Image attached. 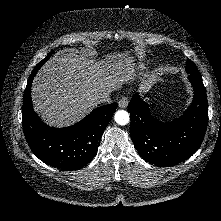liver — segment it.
Listing matches in <instances>:
<instances>
[{"label": "liver", "instance_id": "obj_1", "mask_svg": "<svg viewBox=\"0 0 221 221\" xmlns=\"http://www.w3.org/2000/svg\"><path fill=\"white\" fill-rule=\"evenodd\" d=\"M129 53L111 54L96 62L73 49L58 51L38 71L32 83L35 111L49 125H72L96 106V97L118 90L136 76V63ZM146 91L144 85L139 88Z\"/></svg>", "mask_w": 221, "mask_h": 221}]
</instances>
